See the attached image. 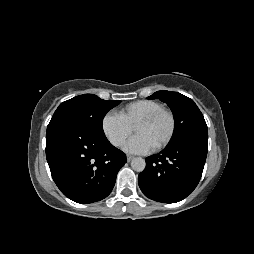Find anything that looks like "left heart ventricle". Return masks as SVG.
<instances>
[{"label": "left heart ventricle", "instance_id": "left-heart-ventricle-1", "mask_svg": "<svg viewBox=\"0 0 254 254\" xmlns=\"http://www.w3.org/2000/svg\"><path fill=\"white\" fill-rule=\"evenodd\" d=\"M135 133L145 136L153 147L160 144L168 135L170 120L168 116L161 115L153 122L135 127Z\"/></svg>", "mask_w": 254, "mask_h": 254}]
</instances>
